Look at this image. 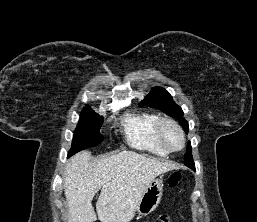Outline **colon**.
Returning <instances> with one entry per match:
<instances>
[{"instance_id":"5ec220e1","label":"colon","mask_w":257,"mask_h":222,"mask_svg":"<svg viewBox=\"0 0 257 222\" xmlns=\"http://www.w3.org/2000/svg\"><path fill=\"white\" fill-rule=\"evenodd\" d=\"M181 179L182 175L179 171L172 172L167 180L168 186L172 188L177 187L181 182ZM153 222H170V218L168 215L163 214L156 218Z\"/></svg>"}]
</instances>
